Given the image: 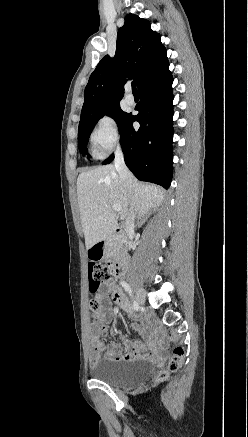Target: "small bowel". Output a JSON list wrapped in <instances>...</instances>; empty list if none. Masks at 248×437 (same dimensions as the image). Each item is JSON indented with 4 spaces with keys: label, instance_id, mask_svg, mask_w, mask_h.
I'll return each mask as SVG.
<instances>
[{
    "label": "small bowel",
    "instance_id": "small-bowel-1",
    "mask_svg": "<svg viewBox=\"0 0 248 437\" xmlns=\"http://www.w3.org/2000/svg\"><path fill=\"white\" fill-rule=\"evenodd\" d=\"M98 293L95 298L105 310H108L110 302L108 299L109 294H112L114 302L123 310L131 312L130 303L123 293L118 288L114 280H109L105 285H99ZM93 315H97L94 318V323L90 333L92 351H91V363L95 364L102 353L105 357L111 360H131L134 358L142 357L146 358L155 353L154 335L149 332L148 325L145 321H141L140 324H133L132 327L138 330L143 339L137 342H130L126 340L122 335H118L120 344L110 343L106 348L105 343L102 341L101 336L107 335L106 323L109 320L107 313L98 315V310H93Z\"/></svg>",
    "mask_w": 248,
    "mask_h": 437
}]
</instances>
